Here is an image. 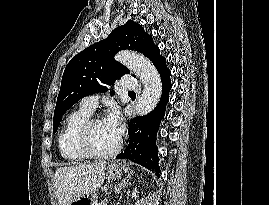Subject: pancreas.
Instances as JSON below:
<instances>
[{
  "instance_id": "obj_1",
  "label": "pancreas",
  "mask_w": 269,
  "mask_h": 205,
  "mask_svg": "<svg viewBox=\"0 0 269 205\" xmlns=\"http://www.w3.org/2000/svg\"><path fill=\"white\" fill-rule=\"evenodd\" d=\"M96 205H107V201L106 200H103L99 203H96Z\"/></svg>"
}]
</instances>
